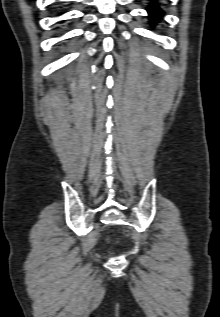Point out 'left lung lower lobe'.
Instances as JSON below:
<instances>
[{"instance_id": "obj_1", "label": "left lung lower lobe", "mask_w": 220, "mask_h": 317, "mask_svg": "<svg viewBox=\"0 0 220 317\" xmlns=\"http://www.w3.org/2000/svg\"><path fill=\"white\" fill-rule=\"evenodd\" d=\"M148 13L151 15V21L155 22L157 21V19H159L161 17V15L163 14V12L158 8L157 5H151L148 9H147Z\"/></svg>"}]
</instances>
